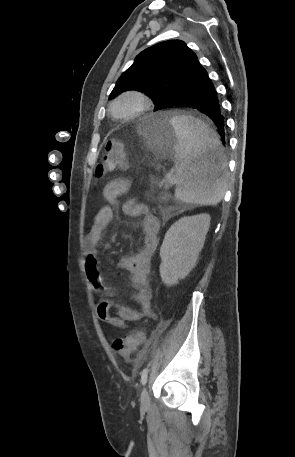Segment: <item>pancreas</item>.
Here are the masks:
<instances>
[{
    "label": "pancreas",
    "mask_w": 295,
    "mask_h": 457,
    "mask_svg": "<svg viewBox=\"0 0 295 457\" xmlns=\"http://www.w3.org/2000/svg\"><path fill=\"white\" fill-rule=\"evenodd\" d=\"M169 186L168 182H164V188L167 189Z\"/></svg>",
    "instance_id": "cf45deb5"
}]
</instances>
